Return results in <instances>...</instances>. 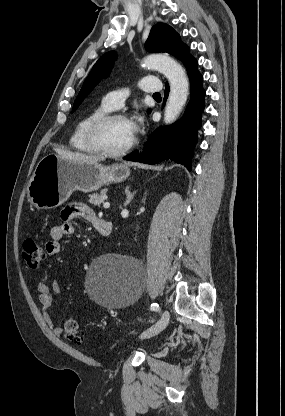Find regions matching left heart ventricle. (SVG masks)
<instances>
[{"instance_id":"b2bd125f","label":"left heart ventricle","mask_w":285,"mask_h":416,"mask_svg":"<svg viewBox=\"0 0 285 416\" xmlns=\"http://www.w3.org/2000/svg\"><path fill=\"white\" fill-rule=\"evenodd\" d=\"M102 145L110 150L124 148L130 141L126 120L116 119L106 124L99 134Z\"/></svg>"}]
</instances>
